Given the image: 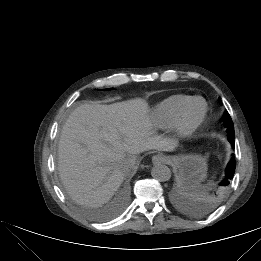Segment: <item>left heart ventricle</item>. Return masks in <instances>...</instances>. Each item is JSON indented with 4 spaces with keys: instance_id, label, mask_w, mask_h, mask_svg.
I'll use <instances>...</instances> for the list:
<instances>
[{
    "instance_id": "1",
    "label": "left heart ventricle",
    "mask_w": 261,
    "mask_h": 261,
    "mask_svg": "<svg viewBox=\"0 0 261 261\" xmlns=\"http://www.w3.org/2000/svg\"><path fill=\"white\" fill-rule=\"evenodd\" d=\"M203 104L201 102H196L190 109L188 117L190 119L196 118L202 111Z\"/></svg>"
}]
</instances>
